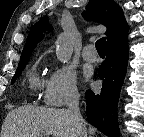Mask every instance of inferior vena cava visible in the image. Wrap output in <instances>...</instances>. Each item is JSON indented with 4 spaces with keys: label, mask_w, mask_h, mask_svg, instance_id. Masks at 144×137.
Instances as JSON below:
<instances>
[{
    "label": "inferior vena cava",
    "mask_w": 144,
    "mask_h": 137,
    "mask_svg": "<svg viewBox=\"0 0 144 137\" xmlns=\"http://www.w3.org/2000/svg\"><path fill=\"white\" fill-rule=\"evenodd\" d=\"M79 99L80 95L78 93H73L69 103L68 108L71 112V116L74 121L75 129H76V137H87L85 122L81 117L80 110H79Z\"/></svg>",
    "instance_id": "1"
}]
</instances>
